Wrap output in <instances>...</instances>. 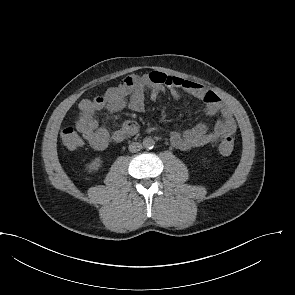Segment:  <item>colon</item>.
Returning a JSON list of instances; mask_svg holds the SVG:
<instances>
[{
  "mask_svg": "<svg viewBox=\"0 0 295 295\" xmlns=\"http://www.w3.org/2000/svg\"><path fill=\"white\" fill-rule=\"evenodd\" d=\"M61 140L64 146L70 150L76 149L82 144V138L73 127H66L61 131ZM234 149V138L225 137L219 146V152L222 155H229Z\"/></svg>",
  "mask_w": 295,
  "mask_h": 295,
  "instance_id": "5ec220e1",
  "label": "colon"
}]
</instances>
